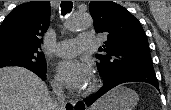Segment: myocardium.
<instances>
[{"mask_svg":"<svg viewBox=\"0 0 171 110\" xmlns=\"http://www.w3.org/2000/svg\"><path fill=\"white\" fill-rule=\"evenodd\" d=\"M98 88V80L96 78H93L87 88L84 91V95H88L92 92H94Z\"/></svg>","mask_w":171,"mask_h":110,"instance_id":"f54148a6","label":"myocardium"}]
</instances>
